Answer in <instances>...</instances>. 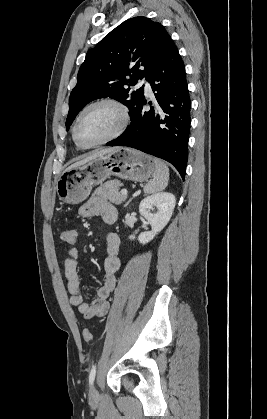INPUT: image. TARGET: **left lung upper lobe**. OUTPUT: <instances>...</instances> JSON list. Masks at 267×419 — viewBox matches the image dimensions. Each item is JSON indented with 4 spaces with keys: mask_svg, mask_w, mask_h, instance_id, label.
<instances>
[{
    "mask_svg": "<svg viewBox=\"0 0 267 419\" xmlns=\"http://www.w3.org/2000/svg\"><path fill=\"white\" fill-rule=\"evenodd\" d=\"M171 38L158 22L146 17L124 21L86 54L78 81L69 98L66 129L92 100L110 97L130 111L144 99L143 87H130L149 73L162 59ZM129 76L130 79H126Z\"/></svg>",
    "mask_w": 267,
    "mask_h": 419,
    "instance_id": "5c2ea615",
    "label": "left lung upper lobe"
}]
</instances>
